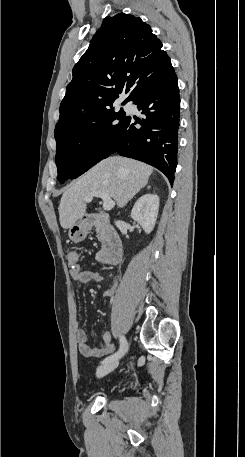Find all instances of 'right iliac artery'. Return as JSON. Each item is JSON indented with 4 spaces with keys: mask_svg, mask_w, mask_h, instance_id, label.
I'll list each match as a JSON object with an SVG mask.
<instances>
[{
    "mask_svg": "<svg viewBox=\"0 0 245 457\" xmlns=\"http://www.w3.org/2000/svg\"><path fill=\"white\" fill-rule=\"evenodd\" d=\"M119 340H120V348H119V350L116 353H114V354L108 356L107 358H105L102 361V363H106V362H109V361H115V360L121 358L126 353V351L128 349V344H127L126 338L121 335Z\"/></svg>",
    "mask_w": 245,
    "mask_h": 457,
    "instance_id": "82829eb1",
    "label": "right iliac artery"
}]
</instances>
